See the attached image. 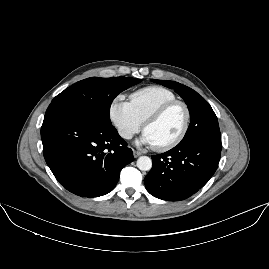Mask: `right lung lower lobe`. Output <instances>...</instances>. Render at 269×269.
Here are the masks:
<instances>
[{
    "label": "right lung lower lobe",
    "mask_w": 269,
    "mask_h": 269,
    "mask_svg": "<svg viewBox=\"0 0 269 269\" xmlns=\"http://www.w3.org/2000/svg\"><path fill=\"white\" fill-rule=\"evenodd\" d=\"M43 154L56 179L81 197L116 186L133 153L114 126L83 113L49 105L41 127Z\"/></svg>",
    "instance_id": "1"
}]
</instances>
